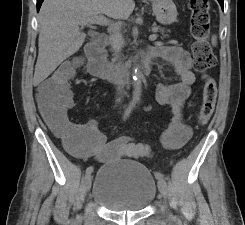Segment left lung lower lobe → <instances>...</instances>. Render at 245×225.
<instances>
[{
    "label": "left lung lower lobe",
    "mask_w": 245,
    "mask_h": 225,
    "mask_svg": "<svg viewBox=\"0 0 245 225\" xmlns=\"http://www.w3.org/2000/svg\"><path fill=\"white\" fill-rule=\"evenodd\" d=\"M218 2L220 3V5H221V8L223 9V5H224V0H218Z\"/></svg>",
    "instance_id": "0a47b994"
}]
</instances>
